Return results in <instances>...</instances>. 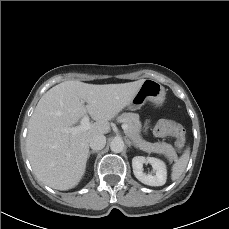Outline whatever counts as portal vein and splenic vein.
Instances as JSON below:
<instances>
[{
  "mask_svg": "<svg viewBox=\"0 0 229 229\" xmlns=\"http://www.w3.org/2000/svg\"><path fill=\"white\" fill-rule=\"evenodd\" d=\"M90 128H91V123L89 117L86 115L81 119L80 125L75 127L63 128L62 131L75 135L79 132L89 130ZM122 129L124 130V132H126L128 130V125L122 124Z\"/></svg>",
  "mask_w": 229,
  "mask_h": 229,
  "instance_id": "18ae733b",
  "label": "portal vein and splenic vein"
}]
</instances>
